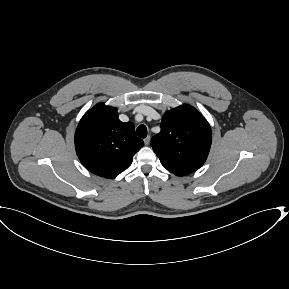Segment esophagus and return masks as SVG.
<instances>
[{"label": "esophagus", "instance_id": "esophagus-1", "mask_svg": "<svg viewBox=\"0 0 289 289\" xmlns=\"http://www.w3.org/2000/svg\"><path fill=\"white\" fill-rule=\"evenodd\" d=\"M144 144H145V145H149V144H150V136H147V137L144 139Z\"/></svg>", "mask_w": 289, "mask_h": 289}]
</instances>
